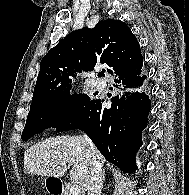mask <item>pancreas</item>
I'll return each instance as SVG.
<instances>
[{
    "label": "pancreas",
    "instance_id": "cf45deb5",
    "mask_svg": "<svg viewBox=\"0 0 189 195\" xmlns=\"http://www.w3.org/2000/svg\"><path fill=\"white\" fill-rule=\"evenodd\" d=\"M65 195H69V192H66Z\"/></svg>",
    "mask_w": 189,
    "mask_h": 195
}]
</instances>
